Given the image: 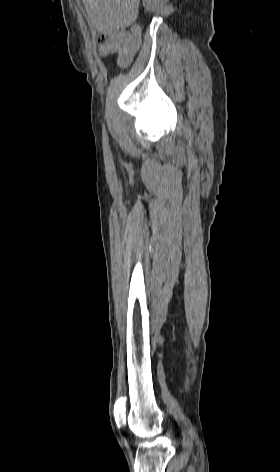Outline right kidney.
I'll return each mask as SVG.
<instances>
[{
	"mask_svg": "<svg viewBox=\"0 0 280 472\" xmlns=\"http://www.w3.org/2000/svg\"><path fill=\"white\" fill-rule=\"evenodd\" d=\"M143 1H146L145 6H146L147 9L153 8V4L151 3V0H143ZM153 1H155V0H153Z\"/></svg>",
	"mask_w": 280,
	"mask_h": 472,
	"instance_id": "ca27d5eb",
	"label": "right kidney"
}]
</instances>
